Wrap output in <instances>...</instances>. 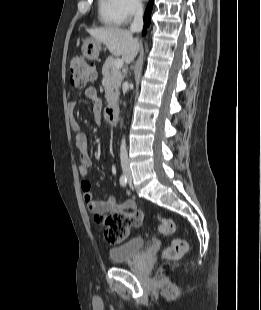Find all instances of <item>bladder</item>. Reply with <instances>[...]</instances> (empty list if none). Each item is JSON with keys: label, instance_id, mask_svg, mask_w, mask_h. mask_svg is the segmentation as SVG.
<instances>
[{"label": "bladder", "instance_id": "obj_1", "mask_svg": "<svg viewBox=\"0 0 261 310\" xmlns=\"http://www.w3.org/2000/svg\"><path fill=\"white\" fill-rule=\"evenodd\" d=\"M144 246L145 240L143 237H132L111 247L109 249V256L114 263H123L137 256L143 250Z\"/></svg>", "mask_w": 261, "mask_h": 310}]
</instances>
